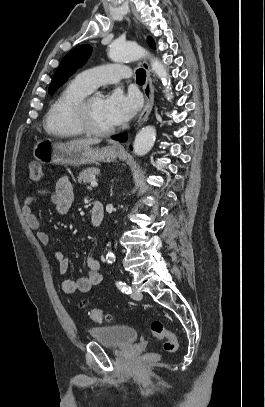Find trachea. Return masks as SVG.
Masks as SVG:
<instances>
[{
	"mask_svg": "<svg viewBox=\"0 0 265 407\" xmlns=\"http://www.w3.org/2000/svg\"><path fill=\"white\" fill-rule=\"evenodd\" d=\"M145 79H146L145 71L143 69H138L136 71V82L138 84H143L145 82Z\"/></svg>",
	"mask_w": 265,
	"mask_h": 407,
	"instance_id": "obj_1",
	"label": "trachea"
}]
</instances>
